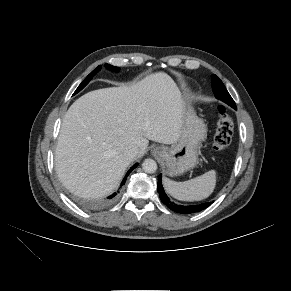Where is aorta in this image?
<instances>
[{
  "mask_svg": "<svg viewBox=\"0 0 291 291\" xmlns=\"http://www.w3.org/2000/svg\"><path fill=\"white\" fill-rule=\"evenodd\" d=\"M142 168L146 173H154L157 170V163L153 159H145Z\"/></svg>",
  "mask_w": 291,
  "mask_h": 291,
  "instance_id": "aorta-1",
  "label": "aorta"
}]
</instances>
